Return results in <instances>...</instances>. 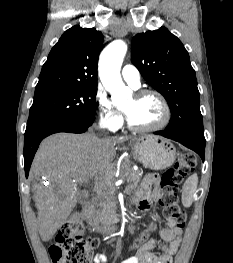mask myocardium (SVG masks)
<instances>
[{"mask_svg":"<svg viewBox=\"0 0 233 263\" xmlns=\"http://www.w3.org/2000/svg\"><path fill=\"white\" fill-rule=\"evenodd\" d=\"M134 96L137 99H141V98H144L147 96L155 97L160 102V104L163 108L164 115H163L162 120L158 124L153 125V126H149V127L134 126L133 124L130 123V121L127 118L126 119V125H127L129 130L136 132V133H150V132L159 131V130L165 128L170 123L171 116H172L171 108H170L167 100L165 99V97L161 93H159L158 91H155V90L145 89V90H140V91L136 92L134 94Z\"/></svg>","mask_w":233,"mask_h":263,"instance_id":"obj_1","label":"myocardium"}]
</instances>
